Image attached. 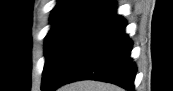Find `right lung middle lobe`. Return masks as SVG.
Here are the masks:
<instances>
[{"mask_svg":"<svg viewBox=\"0 0 173 91\" xmlns=\"http://www.w3.org/2000/svg\"><path fill=\"white\" fill-rule=\"evenodd\" d=\"M115 2L107 0L104 6H114ZM84 23L66 22L53 24L45 39V66L43 69L42 82H45L52 74L55 65L68 47L69 43Z\"/></svg>","mask_w":173,"mask_h":91,"instance_id":"obj_1","label":"right lung middle lobe"}]
</instances>
